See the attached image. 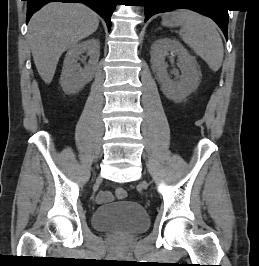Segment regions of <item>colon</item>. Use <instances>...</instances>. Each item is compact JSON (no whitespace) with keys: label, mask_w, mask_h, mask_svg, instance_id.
Returning <instances> with one entry per match:
<instances>
[{"label":"colon","mask_w":259,"mask_h":266,"mask_svg":"<svg viewBox=\"0 0 259 266\" xmlns=\"http://www.w3.org/2000/svg\"><path fill=\"white\" fill-rule=\"evenodd\" d=\"M115 195H116V197H117L119 200H122V199L126 198V196H127V191H126L124 188L119 187V188L116 189V191H115Z\"/></svg>","instance_id":"1"}]
</instances>
